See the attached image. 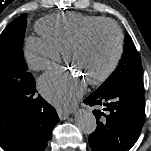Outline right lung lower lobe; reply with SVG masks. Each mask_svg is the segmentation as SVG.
Wrapping results in <instances>:
<instances>
[{
    "label": "right lung lower lobe",
    "instance_id": "right-lung-lower-lobe-1",
    "mask_svg": "<svg viewBox=\"0 0 151 151\" xmlns=\"http://www.w3.org/2000/svg\"><path fill=\"white\" fill-rule=\"evenodd\" d=\"M9 90L19 91L15 105L17 135L11 151H44L52 137V129L59 122L55 109L36 95L35 80L29 72L16 83L0 75V98Z\"/></svg>",
    "mask_w": 151,
    "mask_h": 151
}]
</instances>
